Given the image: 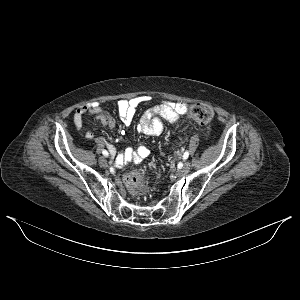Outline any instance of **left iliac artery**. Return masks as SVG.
<instances>
[{"label": "left iliac artery", "mask_w": 300, "mask_h": 300, "mask_svg": "<svg viewBox=\"0 0 300 300\" xmlns=\"http://www.w3.org/2000/svg\"><path fill=\"white\" fill-rule=\"evenodd\" d=\"M188 157H189V152L186 151V152L183 154V159L186 160Z\"/></svg>", "instance_id": "1"}]
</instances>
